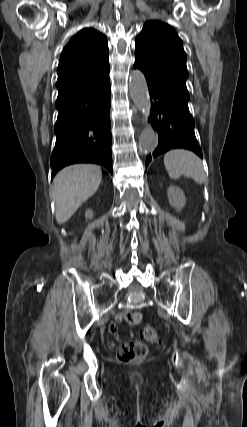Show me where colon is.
Segmentation results:
<instances>
[{
  "mask_svg": "<svg viewBox=\"0 0 247 427\" xmlns=\"http://www.w3.org/2000/svg\"><path fill=\"white\" fill-rule=\"evenodd\" d=\"M143 338L151 343L160 342V333L151 326H145L142 330ZM148 354V348L141 342H126L117 350V358L123 363L143 360Z\"/></svg>",
  "mask_w": 247,
  "mask_h": 427,
  "instance_id": "colon-1",
  "label": "colon"
}]
</instances>
